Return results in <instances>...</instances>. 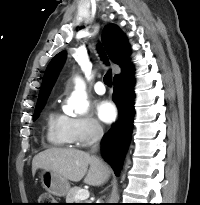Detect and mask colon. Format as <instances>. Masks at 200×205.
Wrapping results in <instances>:
<instances>
[{
  "label": "colon",
  "instance_id": "colon-1",
  "mask_svg": "<svg viewBox=\"0 0 200 205\" xmlns=\"http://www.w3.org/2000/svg\"><path fill=\"white\" fill-rule=\"evenodd\" d=\"M54 199L50 194L43 193L40 195L38 205H53Z\"/></svg>",
  "mask_w": 200,
  "mask_h": 205
}]
</instances>
